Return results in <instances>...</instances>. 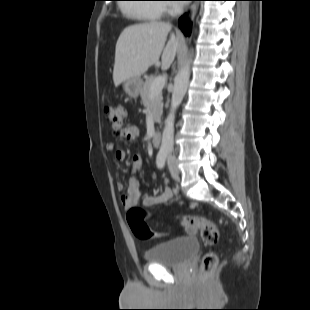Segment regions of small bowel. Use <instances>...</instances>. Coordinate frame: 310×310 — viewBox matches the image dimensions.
Returning a JSON list of instances; mask_svg holds the SVG:
<instances>
[{"label": "small bowel", "instance_id": "1", "mask_svg": "<svg viewBox=\"0 0 310 310\" xmlns=\"http://www.w3.org/2000/svg\"><path fill=\"white\" fill-rule=\"evenodd\" d=\"M114 133L116 136L123 137L129 142H135L139 137V129L134 125L114 129ZM106 148L107 151L112 153L118 161H123L125 159V151L118 148L114 143H109ZM143 162L144 159L141 154H134L131 159L132 171L136 172L139 170L142 167ZM116 188L119 191H122L124 189V184L122 182H118L116 184ZM172 197L173 193L170 189H165L158 194H142L139 190V181L137 177L132 176L128 181L125 193L121 195L120 201L125 209H129L136 205L140 199L145 207H152L155 205L168 203Z\"/></svg>", "mask_w": 310, "mask_h": 310}]
</instances>
